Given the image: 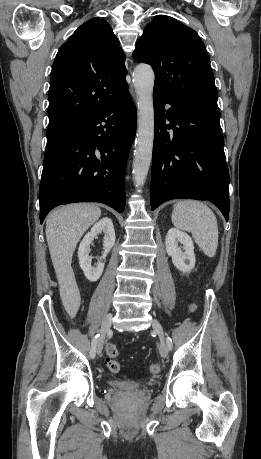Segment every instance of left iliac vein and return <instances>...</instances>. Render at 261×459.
<instances>
[{
  "instance_id": "obj_1",
  "label": "left iliac vein",
  "mask_w": 261,
  "mask_h": 459,
  "mask_svg": "<svg viewBox=\"0 0 261 459\" xmlns=\"http://www.w3.org/2000/svg\"><path fill=\"white\" fill-rule=\"evenodd\" d=\"M152 328L154 332L159 336L160 338V347H159V352L160 355L163 358H166L168 356V347L164 339V330L161 326V324L157 320L152 321Z\"/></svg>"
}]
</instances>
